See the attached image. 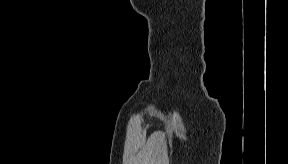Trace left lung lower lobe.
I'll return each mask as SVG.
<instances>
[{
    "instance_id": "left-lung-lower-lobe-1",
    "label": "left lung lower lobe",
    "mask_w": 288,
    "mask_h": 164,
    "mask_svg": "<svg viewBox=\"0 0 288 164\" xmlns=\"http://www.w3.org/2000/svg\"><path fill=\"white\" fill-rule=\"evenodd\" d=\"M226 77H227V79L229 81L231 79V77H232L231 73L226 72ZM221 78H223L221 75L217 76L216 74H213V82H214V84L216 82H218V80L221 79ZM209 95L212 96V97H216V93L213 90L209 91Z\"/></svg>"
}]
</instances>
